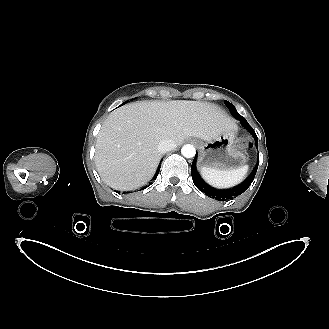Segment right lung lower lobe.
Returning <instances> with one entry per match:
<instances>
[{"mask_svg": "<svg viewBox=\"0 0 329 329\" xmlns=\"http://www.w3.org/2000/svg\"><path fill=\"white\" fill-rule=\"evenodd\" d=\"M159 170H160V168H158V170H157V172H156L154 178L157 177V175H158V173H159Z\"/></svg>", "mask_w": 329, "mask_h": 329, "instance_id": "1", "label": "right lung lower lobe"}]
</instances>
